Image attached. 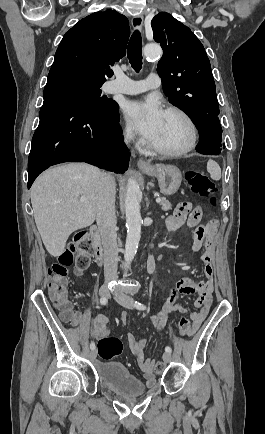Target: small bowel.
<instances>
[{
  "label": "small bowel",
  "instance_id": "1",
  "mask_svg": "<svg viewBox=\"0 0 265 434\" xmlns=\"http://www.w3.org/2000/svg\"><path fill=\"white\" fill-rule=\"evenodd\" d=\"M191 204L189 202L180 203L165 222V231L173 233L179 230L183 225L187 224L190 228L197 226L202 218V210L196 207L191 211ZM207 226H212L214 231L206 236H201L199 232ZM217 230V222L209 220L198 227L194 236L192 248L194 251H200V259L203 263L202 278L192 279L184 277L180 279L171 289L169 295L159 312L152 313L150 316L153 318V325L155 329L161 330L166 322L167 316L171 312L188 313V318L191 321V332L187 336L194 335L203 321L209 314L212 302L213 291V266H212V247L213 239ZM203 243L205 249H202ZM196 294L197 298L194 302L195 307L199 309L197 312H189L188 309L177 303L179 295H193ZM128 314L123 313L121 320L125 324ZM71 321L75 325L82 328H87L91 321L90 318L82 313H76ZM108 333L107 317L103 314H98L91 327V334L95 339L102 338ZM127 341L130 345L131 351L136 355L137 362L143 371L147 385L152 386L155 383V376L153 374L154 360L145 358L144 349L147 346L146 339H137L133 334L127 336Z\"/></svg>",
  "mask_w": 265,
  "mask_h": 434
}]
</instances>
